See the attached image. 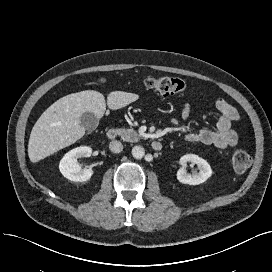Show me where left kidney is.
<instances>
[{
	"instance_id": "left-kidney-1",
	"label": "left kidney",
	"mask_w": 272,
	"mask_h": 272,
	"mask_svg": "<svg viewBox=\"0 0 272 272\" xmlns=\"http://www.w3.org/2000/svg\"><path fill=\"white\" fill-rule=\"evenodd\" d=\"M187 162L196 164L199 172L193 174L187 173L184 168ZM180 164L182 167L177 172V179L183 184L199 185L212 175V169L208 162L198 155L186 154L180 158Z\"/></svg>"
}]
</instances>
